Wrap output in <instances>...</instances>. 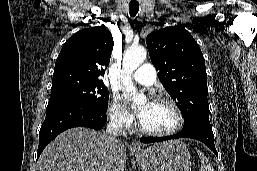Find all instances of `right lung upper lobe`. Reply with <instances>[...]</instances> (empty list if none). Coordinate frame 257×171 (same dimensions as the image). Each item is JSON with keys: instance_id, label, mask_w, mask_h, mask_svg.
Returning a JSON list of instances; mask_svg holds the SVG:
<instances>
[{"instance_id": "1", "label": "right lung upper lobe", "mask_w": 257, "mask_h": 171, "mask_svg": "<svg viewBox=\"0 0 257 171\" xmlns=\"http://www.w3.org/2000/svg\"><path fill=\"white\" fill-rule=\"evenodd\" d=\"M114 42L111 32L91 27L75 33L63 45L54 68L52 88L69 84L103 82Z\"/></svg>"}]
</instances>
